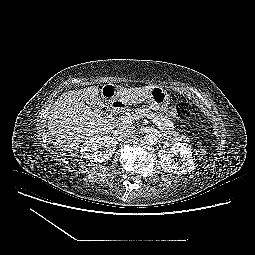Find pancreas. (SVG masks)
Listing matches in <instances>:
<instances>
[{
  "label": "pancreas",
  "instance_id": "pancreas-1",
  "mask_svg": "<svg viewBox=\"0 0 255 255\" xmlns=\"http://www.w3.org/2000/svg\"><path fill=\"white\" fill-rule=\"evenodd\" d=\"M133 116L136 117H143L146 115H150L156 119H158L161 123V127H162V135L163 137L172 142V143H178V142H186L189 143L190 140L189 138H187L185 135L183 134H179L178 132H175L171 129V125L168 121H166L164 118H162L161 116L157 115L156 113H154L153 111H151L148 108H138L135 109L133 111L130 112Z\"/></svg>",
  "mask_w": 255,
  "mask_h": 255
}]
</instances>
